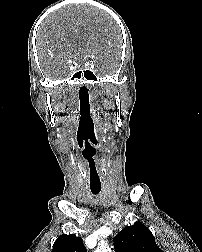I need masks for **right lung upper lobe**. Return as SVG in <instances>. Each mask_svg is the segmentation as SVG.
<instances>
[{"mask_svg":"<svg viewBox=\"0 0 202 252\" xmlns=\"http://www.w3.org/2000/svg\"><path fill=\"white\" fill-rule=\"evenodd\" d=\"M51 252H87L81 237L64 234L57 238Z\"/></svg>","mask_w":202,"mask_h":252,"instance_id":"right-lung-upper-lobe-1","label":"right lung upper lobe"}]
</instances>
